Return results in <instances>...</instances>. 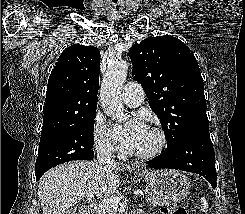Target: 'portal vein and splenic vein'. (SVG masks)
Wrapping results in <instances>:
<instances>
[{
	"label": "portal vein and splenic vein",
	"mask_w": 245,
	"mask_h": 214,
	"mask_svg": "<svg viewBox=\"0 0 245 214\" xmlns=\"http://www.w3.org/2000/svg\"><path fill=\"white\" fill-rule=\"evenodd\" d=\"M134 195L143 196L144 194L141 191H134ZM93 197H94V194H92V193L86 195V199H88V200H91ZM121 199H122V196L111 197V198H103L101 200V204H102V206L111 207L114 210H116L118 208V204H119Z\"/></svg>",
	"instance_id": "18ae733b"
}]
</instances>
